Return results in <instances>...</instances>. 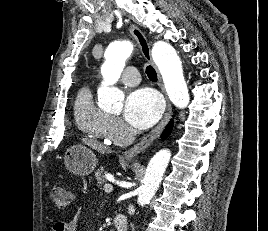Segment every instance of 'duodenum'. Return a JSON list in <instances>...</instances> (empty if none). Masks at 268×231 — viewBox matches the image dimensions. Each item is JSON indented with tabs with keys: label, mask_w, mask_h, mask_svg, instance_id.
<instances>
[{
	"label": "duodenum",
	"mask_w": 268,
	"mask_h": 231,
	"mask_svg": "<svg viewBox=\"0 0 268 231\" xmlns=\"http://www.w3.org/2000/svg\"><path fill=\"white\" fill-rule=\"evenodd\" d=\"M113 226L115 231H127L128 222L127 218L123 213H118L114 216Z\"/></svg>",
	"instance_id": "duodenum-1"
}]
</instances>
